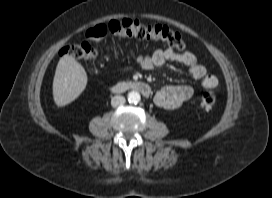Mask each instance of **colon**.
Instances as JSON below:
<instances>
[{"mask_svg": "<svg viewBox=\"0 0 272 198\" xmlns=\"http://www.w3.org/2000/svg\"><path fill=\"white\" fill-rule=\"evenodd\" d=\"M132 37L138 39H155L166 42L170 47L178 50L185 48V42L180 34L162 25H146L139 20L123 18L111 20L107 23L98 24L86 32V40L72 45L65 46L61 53L77 60L93 62L98 58L99 50L97 42L106 36ZM216 94L212 90L203 93L201 106L209 111L214 108Z\"/></svg>", "mask_w": 272, "mask_h": 198, "instance_id": "obj_1", "label": "colon"}]
</instances>
